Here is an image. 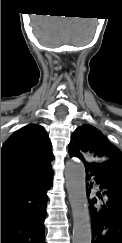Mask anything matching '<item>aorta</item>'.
<instances>
[{
	"label": "aorta",
	"instance_id": "obj_1",
	"mask_svg": "<svg viewBox=\"0 0 122 243\" xmlns=\"http://www.w3.org/2000/svg\"><path fill=\"white\" fill-rule=\"evenodd\" d=\"M85 177V167L81 162L67 163L66 188L74 219L72 243H91L92 240Z\"/></svg>",
	"mask_w": 122,
	"mask_h": 243
}]
</instances>
